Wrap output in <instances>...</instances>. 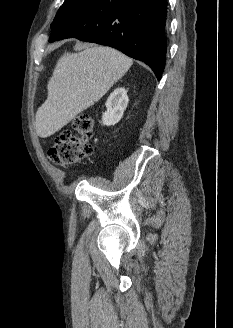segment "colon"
Listing matches in <instances>:
<instances>
[{
    "mask_svg": "<svg viewBox=\"0 0 233 328\" xmlns=\"http://www.w3.org/2000/svg\"><path fill=\"white\" fill-rule=\"evenodd\" d=\"M96 146L93 119L80 114L72 121V130L60 132L48 150L49 160L58 166H69L90 156Z\"/></svg>",
    "mask_w": 233,
    "mask_h": 328,
    "instance_id": "obj_1",
    "label": "colon"
}]
</instances>
